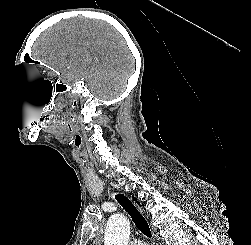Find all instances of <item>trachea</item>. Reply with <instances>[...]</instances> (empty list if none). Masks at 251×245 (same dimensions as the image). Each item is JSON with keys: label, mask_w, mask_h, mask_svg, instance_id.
Here are the masks:
<instances>
[{"label": "trachea", "mask_w": 251, "mask_h": 245, "mask_svg": "<svg viewBox=\"0 0 251 245\" xmlns=\"http://www.w3.org/2000/svg\"><path fill=\"white\" fill-rule=\"evenodd\" d=\"M116 200L121 204L125 211L131 216L136 227L147 237L151 238L152 234L148 222L144 216L137 210L134 204L124 195L118 194Z\"/></svg>", "instance_id": "obj_1"}]
</instances>
